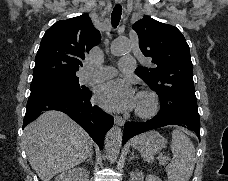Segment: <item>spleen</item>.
Wrapping results in <instances>:
<instances>
[{
  "instance_id": "obj_1",
  "label": "spleen",
  "mask_w": 228,
  "mask_h": 181,
  "mask_svg": "<svg viewBox=\"0 0 228 181\" xmlns=\"http://www.w3.org/2000/svg\"><path fill=\"white\" fill-rule=\"evenodd\" d=\"M141 157L147 163H153L152 153H148L144 147H139ZM171 151L173 159L166 167L168 181H190L195 165V149L189 137L180 129L172 131Z\"/></svg>"
}]
</instances>
